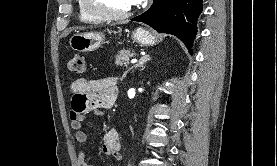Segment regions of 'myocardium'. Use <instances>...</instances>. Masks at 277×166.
I'll return each mask as SVG.
<instances>
[{"label": "myocardium", "instance_id": "f54148a6", "mask_svg": "<svg viewBox=\"0 0 277 166\" xmlns=\"http://www.w3.org/2000/svg\"><path fill=\"white\" fill-rule=\"evenodd\" d=\"M83 10L90 16L103 21H121L129 18L134 13V7L121 14H111L95 9L89 0H80Z\"/></svg>", "mask_w": 277, "mask_h": 166}]
</instances>
